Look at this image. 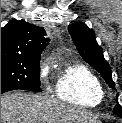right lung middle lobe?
I'll return each mask as SVG.
<instances>
[{
    "instance_id": "obj_1",
    "label": "right lung middle lobe",
    "mask_w": 122,
    "mask_h": 123,
    "mask_svg": "<svg viewBox=\"0 0 122 123\" xmlns=\"http://www.w3.org/2000/svg\"><path fill=\"white\" fill-rule=\"evenodd\" d=\"M39 57L1 55V88L41 92Z\"/></svg>"
}]
</instances>
